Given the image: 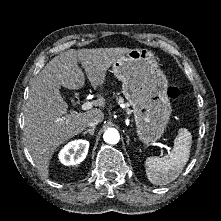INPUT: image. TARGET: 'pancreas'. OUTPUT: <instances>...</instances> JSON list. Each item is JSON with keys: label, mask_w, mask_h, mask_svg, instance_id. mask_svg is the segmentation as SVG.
I'll return each instance as SVG.
<instances>
[{"label": "pancreas", "mask_w": 221, "mask_h": 221, "mask_svg": "<svg viewBox=\"0 0 221 221\" xmlns=\"http://www.w3.org/2000/svg\"><path fill=\"white\" fill-rule=\"evenodd\" d=\"M117 100H118V102H123V98H121V97L117 98ZM127 113L130 114L131 110L127 109Z\"/></svg>", "instance_id": "cf45deb5"}]
</instances>
